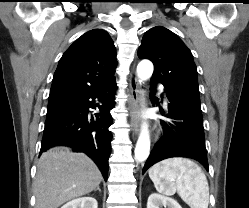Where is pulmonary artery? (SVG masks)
<instances>
[{"instance_id": "obj_1", "label": "pulmonary artery", "mask_w": 249, "mask_h": 208, "mask_svg": "<svg viewBox=\"0 0 249 208\" xmlns=\"http://www.w3.org/2000/svg\"><path fill=\"white\" fill-rule=\"evenodd\" d=\"M164 102H165V104L167 103V100H166V98H165Z\"/></svg>"}]
</instances>
